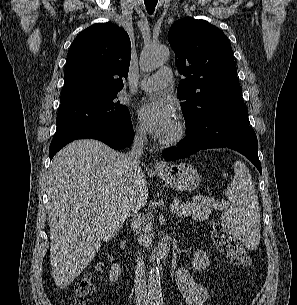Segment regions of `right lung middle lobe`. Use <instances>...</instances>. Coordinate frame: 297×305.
<instances>
[{"instance_id":"dd1d6c3e","label":"right lung middle lobe","mask_w":297,"mask_h":305,"mask_svg":"<svg viewBox=\"0 0 297 305\" xmlns=\"http://www.w3.org/2000/svg\"><path fill=\"white\" fill-rule=\"evenodd\" d=\"M118 92H94L60 100L57 128L51 144L91 125L129 123V110L118 101Z\"/></svg>"}]
</instances>
